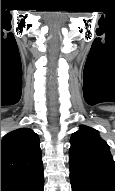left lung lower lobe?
Segmentation results:
<instances>
[{"label":"left lung lower lobe","instance_id":"left-lung-lower-lobe-1","mask_svg":"<svg viewBox=\"0 0 115 191\" xmlns=\"http://www.w3.org/2000/svg\"><path fill=\"white\" fill-rule=\"evenodd\" d=\"M72 191H115V177L99 170L71 165Z\"/></svg>","mask_w":115,"mask_h":191}]
</instances>
